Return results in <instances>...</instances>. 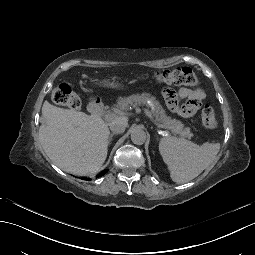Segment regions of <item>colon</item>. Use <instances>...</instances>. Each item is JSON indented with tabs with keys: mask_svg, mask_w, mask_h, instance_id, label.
Masks as SVG:
<instances>
[{
	"mask_svg": "<svg viewBox=\"0 0 255 255\" xmlns=\"http://www.w3.org/2000/svg\"><path fill=\"white\" fill-rule=\"evenodd\" d=\"M156 80L159 83L169 85L198 87L200 84L198 77L188 67L174 68L159 72L156 74ZM52 99L56 104L67 106L71 109H78L81 105L78 95L66 84H61L53 90ZM201 120L204 127L207 129L212 130L217 127V118L212 106L207 104L203 107Z\"/></svg>",
	"mask_w": 255,
	"mask_h": 255,
	"instance_id": "obj_1",
	"label": "colon"
}]
</instances>
